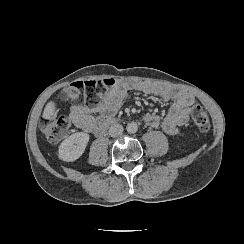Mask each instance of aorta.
Segmentation results:
<instances>
[{
    "instance_id": "1",
    "label": "aorta",
    "mask_w": 244,
    "mask_h": 244,
    "mask_svg": "<svg viewBox=\"0 0 244 244\" xmlns=\"http://www.w3.org/2000/svg\"><path fill=\"white\" fill-rule=\"evenodd\" d=\"M126 130L130 134L136 133L137 130H138V126H137V124L135 122H130V123L127 124Z\"/></svg>"
}]
</instances>
